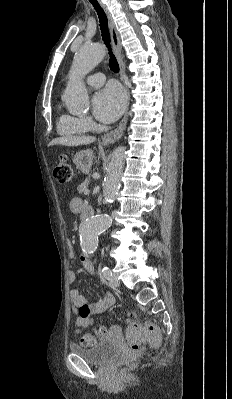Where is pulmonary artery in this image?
Returning <instances> with one entry per match:
<instances>
[{
	"mask_svg": "<svg viewBox=\"0 0 232 399\" xmlns=\"http://www.w3.org/2000/svg\"><path fill=\"white\" fill-rule=\"evenodd\" d=\"M88 83L90 85V90H102L103 85L108 83V78L103 77L102 73H91L88 78Z\"/></svg>",
	"mask_w": 232,
	"mask_h": 399,
	"instance_id": "e3ab8cb5",
	"label": "pulmonary artery"
}]
</instances>
